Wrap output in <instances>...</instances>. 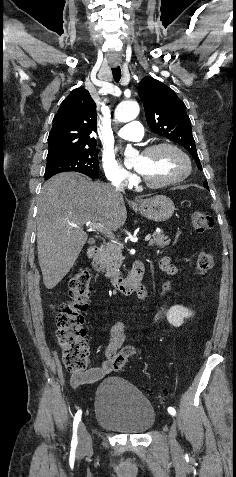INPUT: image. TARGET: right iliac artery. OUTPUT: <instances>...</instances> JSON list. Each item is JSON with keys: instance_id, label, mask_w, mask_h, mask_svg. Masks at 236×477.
Masks as SVG:
<instances>
[{"instance_id": "1", "label": "right iliac artery", "mask_w": 236, "mask_h": 477, "mask_svg": "<svg viewBox=\"0 0 236 477\" xmlns=\"http://www.w3.org/2000/svg\"><path fill=\"white\" fill-rule=\"evenodd\" d=\"M81 415H82V411L81 410H78L75 417H74V421H73V437H72V441H71V446L73 447H76L77 446V443H78V439H77V428H78V424L81 420Z\"/></svg>"}]
</instances>
